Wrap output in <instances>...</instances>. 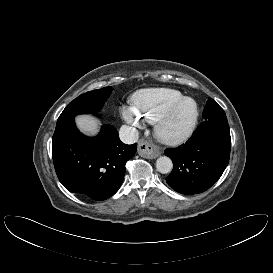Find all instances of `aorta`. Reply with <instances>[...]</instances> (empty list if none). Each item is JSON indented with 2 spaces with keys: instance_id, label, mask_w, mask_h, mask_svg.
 <instances>
[{
  "instance_id": "aorta-1",
  "label": "aorta",
  "mask_w": 273,
  "mask_h": 273,
  "mask_svg": "<svg viewBox=\"0 0 273 273\" xmlns=\"http://www.w3.org/2000/svg\"><path fill=\"white\" fill-rule=\"evenodd\" d=\"M156 168L162 174L170 173L173 168L171 159L167 156L159 157L156 161Z\"/></svg>"
}]
</instances>
